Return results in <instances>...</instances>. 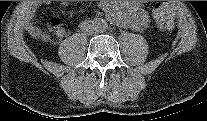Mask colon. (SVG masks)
<instances>
[{
	"instance_id": "obj_1",
	"label": "colon",
	"mask_w": 207,
	"mask_h": 121,
	"mask_svg": "<svg viewBox=\"0 0 207 121\" xmlns=\"http://www.w3.org/2000/svg\"><path fill=\"white\" fill-rule=\"evenodd\" d=\"M154 19L162 30H171L174 27L173 12L166 2L157 3L153 10Z\"/></svg>"
}]
</instances>
